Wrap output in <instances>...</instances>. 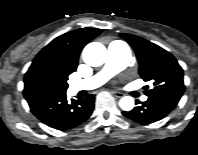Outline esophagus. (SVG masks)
I'll list each match as a JSON object with an SVG mask.
<instances>
[{
    "label": "esophagus",
    "instance_id": "34e87169",
    "mask_svg": "<svg viewBox=\"0 0 198 155\" xmlns=\"http://www.w3.org/2000/svg\"><path fill=\"white\" fill-rule=\"evenodd\" d=\"M112 94L117 97V98H121L124 94L118 91H112Z\"/></svg>",
    "mask_w": 198,
    "mask_h": 155
}]
</instances>
